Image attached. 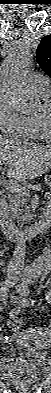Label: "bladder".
Returning a JSON list of instances; mask_svg holds the SVG:
<instances>
[{
	"label": "bladder",
	"mask_w": 51,
	"mask_h": 393,
	"mask_svg": "<svg viewBox=\"0 0 51 393\" xmlns=\"http://www.w3.org/2000/svg\"><path fill=\"white\" fill-rule=\"evenodd\" d=\"M21 355L22 358L16 362L9 360L4 362V366L17 375L10 377L12 381L28 385L36 383L50 374L51 361L45 352L24 349Z\"/></svg>",
	"instance_id": "31cf9c89"
}]
</instances>
